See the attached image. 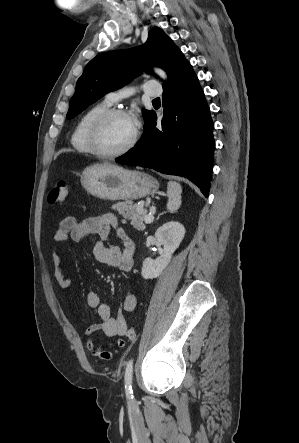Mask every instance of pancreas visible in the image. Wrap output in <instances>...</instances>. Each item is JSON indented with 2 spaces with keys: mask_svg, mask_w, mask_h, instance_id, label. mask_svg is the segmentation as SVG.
<instances>
[{
  "mask_svg": "<svg viewBox=\"0 0 299 443\" xmlns=\"http://www.w3.org/2000/svg\"><path fill=\"white\" fill-rule=\"evenodd\" d=\"M112 209L117 210L118 213L125 219L131 221V225L137 230H144L146 225L144 224V219L147 213L144 209L138 208L132 200H124L112 205Z\"/></svg>",
  "mask_w": 299,
  "mask_h": 443,
  "instance_id": "1",
  "label": "pancreas"
}]
</instances>
